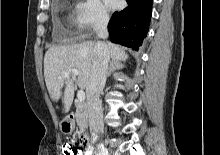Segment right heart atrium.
Returning a JSON list of instances; mask_svg holds the SVG:
<instances>
[{
  "mask_svg": "<svg viewBox=\"0 0 220 155\" xmlns=\"http://www.w3.org/2000/svg\"><path fill=\"white\" fill-rule=\"evenodd\" d=\"M109 15L100 0H79L75 5V26L80 33L87 34L104 28Z\"/></svg>",
  "mask_w": 220,
  "mask_h": 155,
  "instance_id": "obj_1",
  "label": "right heart atrium"
}]
</instances>
